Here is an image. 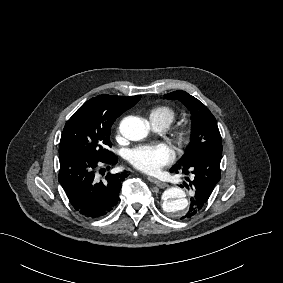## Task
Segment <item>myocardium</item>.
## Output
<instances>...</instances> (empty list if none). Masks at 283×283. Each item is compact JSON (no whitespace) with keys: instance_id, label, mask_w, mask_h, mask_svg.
<instances>
[{"instance_id":"f54148a6","label":"myocardium","mask_w":283,"mask_h":283,"mask_svg":"<svg viewBox=\"0 0 283 283\" xmlns=\"http://www.w3.org/2000/svg\"><path fill=\"white\" fill-rule=\"evenodd\" d=\"M187 133L186 132H177L174 137L176 139V141H178L179 143H183L185 141Z\"/></svg>"}]
</instances>
